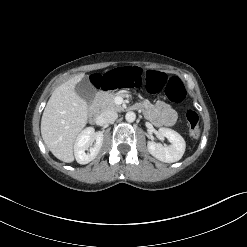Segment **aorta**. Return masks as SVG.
I'll use <instances>...</instances> for the list:
<instances>
[{
  "instance_id": "obj_1",
  "label": "aorta",
  "mask_w": 247,
  "mask_h": 247,
  "mask_svg": "<svg viewBox=\"0 0 247 247\" xmlns=\"http://www.w3.org/2000/svg\"><path fill=\"white\" fill-rule=\"evenodd\" d=\"M125 119L127 122H133L136 119V114L132 111H129L126 113Z\"/></svg>"
}]
</instances>
